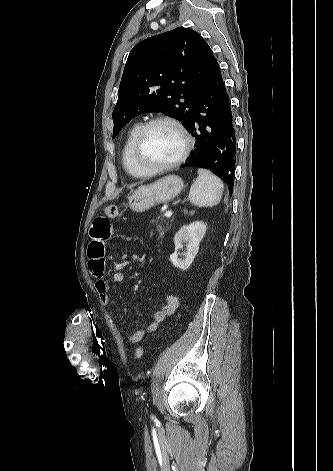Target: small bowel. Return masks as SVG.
<instances>
[{
	"instance_id": "1",
	"label": "small bowel",
	"mask_w": 333,
	"mask_h": 471,
	"mask_svg": "<svg viewBox=\"0 0 333 471\" xmlns=\"http://www.w3.org/2000/svg\"><path fill=\"white\" fill-rule=\"evenodd\" d=\"M111 235L112 224L110 222V218L105 215L96 217L90 228L91 242L88 246L87 255L89 258V270L96 279L95 288L103 305H108L110 303V285L105 279V247L106 241L111 237ZM124 279L125 276L122 272H113V282L122 283ZM178 306L179 299L176 295L172 293L165 294L163 304L161 308L154 313L152 321L145 328H139L134 331V333L129 336V341L131 343L139 342L147 332L155 331L168 316L174 314Z\"/></svg>"
}]
</instances>
